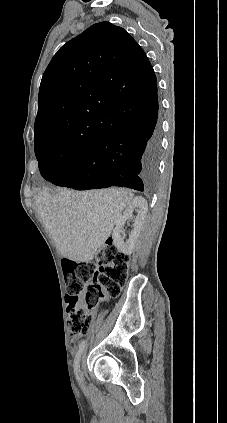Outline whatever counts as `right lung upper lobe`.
<instances>
[{
	"mask_svg": "<svg viewBox=\"0 0 227 423\" xmlns=\"http://www.w3.org/2000/svg\"><path fill=\"white\" fill-rule=\"evenodd\" d=\"M156 88L153 68L129 33L109 22L94 24L62 46L44 72L34 142L90 148L105 132L127 126L108 115L110 107L147 100Z\"/></svg>",
	"mask_w": 227,
	"mask_h": 423,
	"instance_id": "1",
	"label": "right lung upper lobe"
}]
</instances>
